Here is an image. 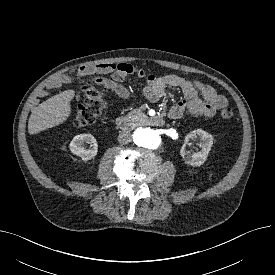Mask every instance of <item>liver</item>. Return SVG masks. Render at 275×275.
I'll return each mask as SVG.
<instances>
[{
    "instance_id": "6515ba94",
    "label": "liver",
    "mask_w": 275,
    "mask_h": 275,
    "mask_svg": "<svg viewBox=\"0 0 275 275\" xmlns=\"http://www.w3.org/2000/svg\"><path fill=\"white\" fill-rule=\"evenodd\" d=\"M74 96V90H65L35 107L28 121V132L36 134L64 123L71 114L70 102Z\"/></svg>"
}]
</instances>
